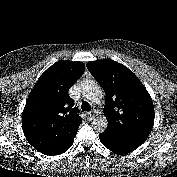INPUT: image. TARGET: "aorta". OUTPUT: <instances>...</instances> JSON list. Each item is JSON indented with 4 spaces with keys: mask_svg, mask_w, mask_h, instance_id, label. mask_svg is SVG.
<instances>
[{
    "mask_svg": "<svg viewBox=\"0 0 177 177\" xmlns=\"http://www.w3.org/2000/svg\"><path fill=\"white\" fill-rule=\"evenodd\" d=\"M86 97L93 103H101L103 95L101 90L94 83H90L86 86Z\"/></svg>",
    "mask_w": 177,
    "mask_h": 177,
    "instance_id": "762f6f07",
    "label": "aorta"
}]
</instances>
